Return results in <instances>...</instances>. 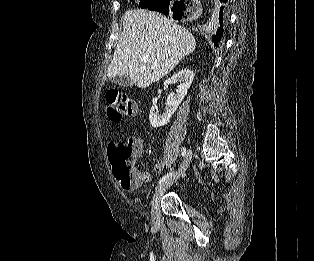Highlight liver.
I'll list each match as a JSON object with an SVG mask.
<instances>
[{"label": "liver", "mask_w": 314, "mask_h": 261, "mask_svg": "<svg viewBox=\"0 0 314 261\" xmlns=\"http://www.w3.org/2000/svg\"><path fill=\"white\" fill-rule=\"evenodd\" d=\"M195 48V38L184 27L160 13L130 9L124 14L123 31L107 76H128L136 86L146 88L170 73ZM153 63L158 67L152 68Z\"/></svg>", "instance_id": "1"}]
</instances>
